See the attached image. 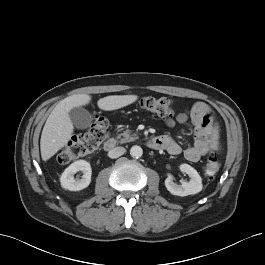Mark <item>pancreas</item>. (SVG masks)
Instances as JSON below:
<instances>
[{"instance_id": "obj_1", "label": "pancreas", "mask_w": 265, "mask_h": 265, "mask_svg": "<svg viewBox=\"0 0 265 265\" xmlns=\"http://www.w3.org/2000/svg\"><path fill=\"white\" fill-rule=\"evenodd\" d=\"M117 139H120V143H126L138 139V136L136 134H131V131L126 130L123 133L119 134L117 136Z\"/></svg>"}]
</instances>
